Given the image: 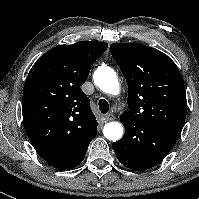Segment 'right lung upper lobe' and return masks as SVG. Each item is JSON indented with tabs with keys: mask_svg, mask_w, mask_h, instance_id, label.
<instances>
[{
	"mask_svg": "<svg viewBox=\"0 0 199 199\" xmlns=\"http://www.w3.org/2000/svg\"><path fill=\"white\" fill-rule=\"evenodd\" d=\"M107 47L98 41L59 45L31 68L23 91V124L45 161L69 165L95 138L98 122L80 86Z\"/></svg>",
	"mask_w": 199,
	"mask_h": 199,
	"instance_id": "obj_1",
	"label": "right lung upper lobe"
}]
</instances>
